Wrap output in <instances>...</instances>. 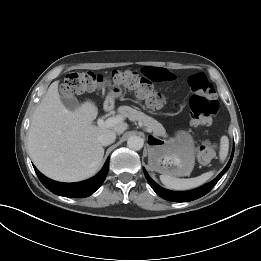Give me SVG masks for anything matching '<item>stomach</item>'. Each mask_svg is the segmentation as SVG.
<instances>
[{
	"label": "stomach",
	"instance_id": "0dacf381",
	"mask_svg": "<svg viewBox=\"0 0 261 261\" xmlns=\"http://www.w3.org/2000/svg\"><path fill=\"white\" fill-rule=\"evenodd\" d=\"M122 95L119 86L110 88L107 101L113 103ZM148 163L161 174L172 177L188 176L195 164L194 140L190 133L178 131L173 138L160 139L156 135L149 138Z\"/></svg>",
	"mask_w": 261,
	"mask_h": 261
}]
</instances>
